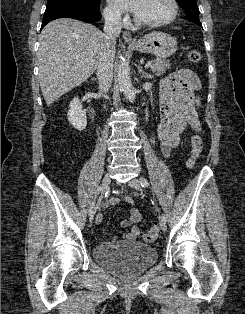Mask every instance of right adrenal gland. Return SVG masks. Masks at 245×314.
<instances>
[{
    "instance_id": "2a0ac1e0",
    "label": "right adrenal gland",
    "mask_w": 245,
    "mask_h": 314,
    "mask_svg": "<svg viewBox=\"0 0 245 314\" xmlns=\"http://www.w3.org/2000/svg\"><path fill=\"white\" fill-rule=\"evenodd\" d=\"M92 80H93V81H95V80H96V78H92Z\"/></svg>"
}]
</instances>
